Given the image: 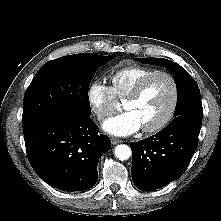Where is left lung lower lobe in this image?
I'll list each match as a JSON object with an SVG mask.
<instances>
[{"label":"left lung lower lobe","mask_w":221,"mask_h":221,"mask_svg":"<svg viewBox=\"0 0 221 221\" xmlns=\"http://www.w3.org/2000/svg\"><path fill=\"white\" fill-rule=\"evenodd\" d=\"M201 124L191 121L168 125L157 134L130 144L135 186L152 191L180 178L197 149Z\"/></svg>","instance_id":"0a47b994"}]
</instances>
